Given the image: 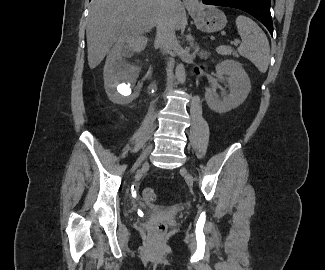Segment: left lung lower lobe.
<instances>
[{"mask_svg": "<svg viewBox=\"0 0 325 270\" xmlns=\"http://www.w3.org/2000/svg\"><path fill=\"white\" fill-rule=\"evenodd\" d=\"M203 3L243 10L258 19L273 36L270 0H203Z\"/></svg>", "mask_w": 325, "mask_h": 270, "instance_id": "0a47b994", "label": "left lung lower lobe"}]
</instances>
